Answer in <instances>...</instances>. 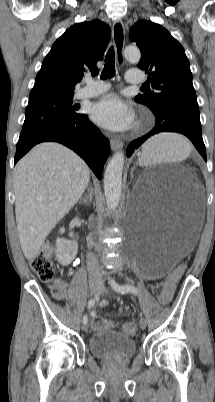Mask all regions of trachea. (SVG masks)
I'll list each match as a JSON object with an SVG mask.
<instances>
[{
  "mask_svg": "<svg viewBox=\"0 0 215 402\" xmlns=\"http://www.w3.org/2000/svg\"><path fill=\"white\" fill-rule=\"evenodd\" d=\"M115 72V53L114 47H110L105 58V66L101 73V79H108L114 77Z\"/></svg>",
  "mask_w": 215,
  "mask_h": 402,
  "instance_id": "3493384b",
  "label": "trachea"
}]
</instances>
